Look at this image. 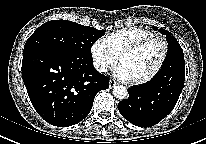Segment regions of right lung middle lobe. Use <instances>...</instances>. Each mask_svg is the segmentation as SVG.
Wrapping results in <instances>:
<instances>
[{
  "label": "right lung middle lobe",
  "instance_id": "obj_1",
  "mask_svg": "<svg viewBox=\"0 0 206 144\" xmlns=\"http://www.w3.org/2000/svg\"><path fill=\"white\" fill-rule=\"evenodd\" d=\"M105 33L68 20L48 21L26 41L23 54L33 50H53L92 61L91 47Z\"/></svg>",
  "mask_w": 206,
  "mask_h": 144
}]
</instances>
